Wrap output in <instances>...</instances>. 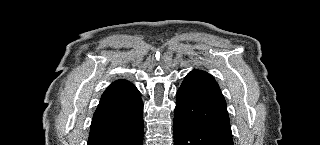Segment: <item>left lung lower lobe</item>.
Returning <instances> with one entry per match:
<instances>
[{"instance_id":"0a47b994","label":"left lung lower lobe","mask_w":320,"mask_h":145,"mask_svg":"<svg viewBox=\"0 0 320 145\" xmlns=\"http://www.w3.org/2000/svg\"><path fill=\"white\" fill-rule=\"evenodd\" d=\"M174 145H234L226 101L205 71L188 73L177 91Z\"/></svg>"}]
</instances>
